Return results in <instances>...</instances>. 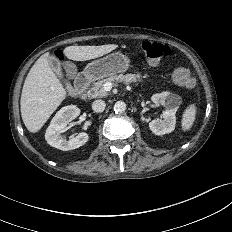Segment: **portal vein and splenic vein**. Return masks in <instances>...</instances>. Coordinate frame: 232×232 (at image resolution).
<instances>
[{
    "instance_id": "obj_1",
    "label": "portal vein and splenic vein",
    "mask_w": 232,
    "mask_h": 232,
    "mask_svg": "<svg viewBox=\"0 0 232 232\" xmlns=\"http://www.w3.org/2000/svg\"><path fill=\"white\" fill-rule=\"evenodd\" d=\"M112 86H113L112 83L107 82V83L104 84V89H105L106 91H109V90H111Z\"/></svg>"
}]
</instances>
